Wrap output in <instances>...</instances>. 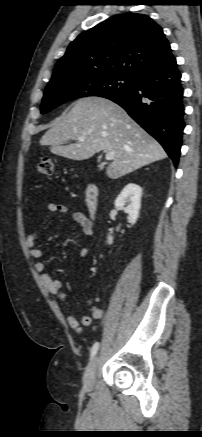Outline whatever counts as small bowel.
I'll return each instance as SVG.
<instances>
[{
	"mask_svg": "<svg viewBox=\"0 0 202 437\" xmlns=\"http://www.w3.org/2000/svg\"><path fill=\"white\" fill-rule=\"evenodd\" d=\"M47 208L50 213L55 214H67L69 212V207L64 204H56L51 202L47 205ZM71 216L72 219L81 226L84 235L87 238L91 239L93 236V224L91 220L81 211H73L71 213ZM40 233V230H36L31 233L26 239V246L28 248L29 255L37 259L33 265L34 269L36 272L39 273L40 279L43 285L47 288V290L51 294L57 296L60 301L65 305V307L68 308V299L66 293L62 290V281L59 279H54L48 273H46L44 262L38 260L44 254L43 250L36 246V241L38 240ZM88 252L89 247L84 246L80 250V255L86 256ZM86 303L91 306V311L90 314H85L82 316L81 323L83 325H90L94 319H101L104 316V310L95 306L92 299H87ZM67 322L71 329L75 330L77 333L82 332V329L80 328V321L74 314L69 313L67 317Z\"/></svg>",
	"mask_w": 202,
	"mask_h": 437,
	"instance_id": "1",
	"label": "small bowel"
}]
</instances>
